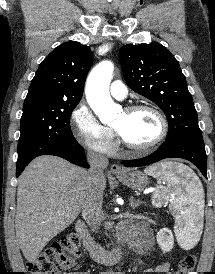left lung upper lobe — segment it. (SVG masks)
Wrapping results in <instances>:
<instances>
[{
	"mask_svg": "<svg viewBox=\"0 0 215 274\" xmlns=\"http://www.w3.org/2000/svg\"><path fill=\"white\" fill-rule=\"evenodd\" d=\"M119 58L128 86L165 113L169 124L166 141L203 144L193 99L175 57L163 45L151 42L124 45Z\"/></svg>",
	"mask_w": 215,
	"mask_h": 274,
	"instance_id": "5c2ea615",
	"label": "left lung upper lobe"
}]
</instances>
